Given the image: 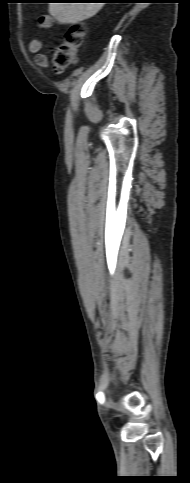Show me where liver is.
<instances>
[{"instance_id": "6515ba94", "label": "liver", "mask_w": 190, "mask_h": 483, "mask_svg": "<svg viewBox=\"0 0 190 483\" xmlns=\"http://www.w3.org/2000/svg\"><path fill=\"white\" fill-rule=\"evenodd\" d=\"M50 14L60 24H77L93 17L103 3H49Z\"/></svg>"}]
</instances>
